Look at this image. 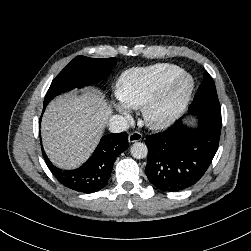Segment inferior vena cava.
Masks as SVG:
<instances>
[{"mask_svg":"<svg viewBox=\"0 0 251 251\" xmlns=\"http://www.w3.org/2000/svg\"><path fill=\"white\" fill-rule=\"evenodd\" d=\"M109 129L113 133L126 131L129 128L127 119L121 115H114L109 119Z\"/></svg>","mask_w":251,"mask_h":251,"instance_id":"602c4592","label":"inferior vena cava"}]
</instances>
